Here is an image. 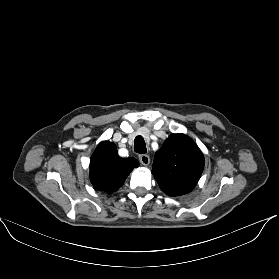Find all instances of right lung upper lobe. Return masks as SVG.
Returning a JSON list of instances; mask_svg holds the SVG:
<instances>
[{
  "label": "right lung upper lobe",
  "mask_w": 279,
  "mask_h": 279,
  "mask_svg": "<svg viewBox=\"0 0 279 279\" xmlns=\"http://www.w3.org/2000/svg\"><path fill=\"white\" fill-rule=\"evenodd\" d=\"M138 166L137 159L121 158L114 143L103 141L91 157L90 180L97 190L112 193L123 185L129 173Z\"/></svg>",
  "instance_id": "obj_1"
}]
</instances>
